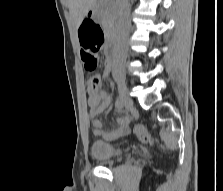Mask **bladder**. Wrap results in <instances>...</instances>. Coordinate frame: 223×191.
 Instances as JSON below:
<instances>
[{
  "mask_svg": "<svg viewBox=\"0 0 223 191\" xmlns=\"http://www.w3.org/2000/svg\"><path fill=\"white\" fill-rule=\"evenodd\" d=\"M123 153L122 147L97 140L91 146V156L100 162H109L119 157Z\"/></svg>",
  "mask_w": 223,
  "mask_h": 191,
  "instance_id": "obj_1",
  "label": "bladder"
}]
</instances>
